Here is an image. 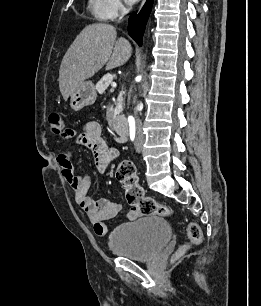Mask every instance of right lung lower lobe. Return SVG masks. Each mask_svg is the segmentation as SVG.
I'll return each mask as SVG.
<instances>
[{
    "label": "right lung lower lobe",
    "instance_id": "right-lung-lower-lobe-1",
    "mask_svg": "<svg viewBox=\"0 0 261 306\" xmlns=\"http://www.w3.org/2000/svg\"><path fill=\"white\" fill-rule=\"evenodd\" d=\"M153 0H147L144 7L138 15L133 13L129 17L128 33L137 42L139 46L142 45V36L144 33L145 25L149 17Z\"/></svg>",
    "mask_w": 261,
    "mask_h": 306
}]
</instances>
